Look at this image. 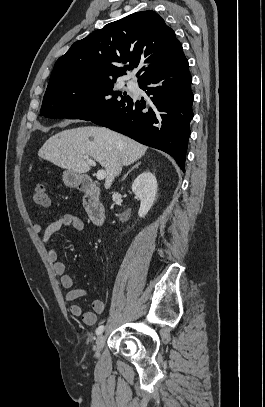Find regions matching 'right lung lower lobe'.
I'll return each instance as SVG.
<instances>
[{
	"label": "right lung lower lobe",
	"mask_w": 265,
	"mask_h": 407,
	"mask_svg": "<svg viewBox=\"0 0 265 407\" xmlns=\"http://www.w3.org/2000/svg\"><path fill=\"white\" fill-rule=\"evenodd\" d=\"M191 83L183 53L139 82L149 96L147 103L131 98L91 121L170 154L184 171L193 118Z\"/></svg>",
	"instance_id": "obj_1"
}]
</instances>
